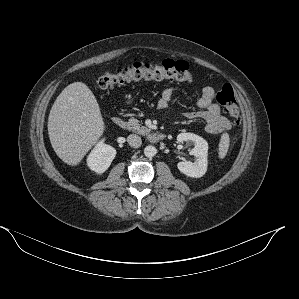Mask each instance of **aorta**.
<instances>
[{
	"instance_id": "1",
	"label": "aorta",
	"mask_w": 299,
	"mask_h": 299,
	"mask_svg": "<svg viewBox=\"0 0 299 299\" xmlns=\"http://www.w3.org/2000/svg\"><path fill=\"white\" fill-rule=\"evenodd\" d=\"M144 154L146 157L152 158L157 154V149L152 145H148L144 148Z\"/></svg>"
}]
</instances>
